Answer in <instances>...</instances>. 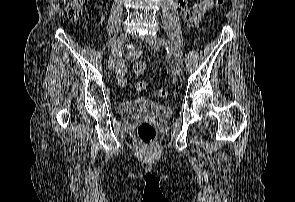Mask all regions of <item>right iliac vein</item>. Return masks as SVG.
Masks as SVG:
<instances>
[{
	"mask_svg": "<svg viewBox=\"0 0 295 202\" xmlns=\"http://www.w3.org/2000/svg\"><path fill=\"white\" fill-rule=\"evenodd\" d=\"M127 37H128L127 33H122V34L119 35L116 42L114 43V45L112 47V50H111V55H110V58H109V62H108L109 70H111V71L114 70L116 57L120 53L122 45L127 40Z\"/></svg>",
	"mask_w": 295,
	"mask_h": 202,
	"instance_id": "obj_1",
	"label": "right iliac vein"
}]
</instances>
